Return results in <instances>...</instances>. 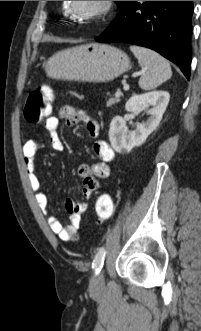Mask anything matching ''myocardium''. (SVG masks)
<instances>
[{
    "label": "myocardium",
    "mask_w": 201,
    "mask_h": 331,
    "mask_svg": "<svg viewBox=\"0 0 201 331\" xmlns=\"http://www.w3.org/2000/svg\"><path fill=\"white\" fill-rule=\"evenodd\" d=\"M112 7H113V1H98V7H97L96 11H94L91 14L84 15V14L79 13L76 10L75 1H71V3H70V8H71V11L74 13V15L81 17L83 19H86V20L100 19V18L106 16L112 10Z\"/></svg>",
    "instance_id": "f54148a6"
}]
</instances>
